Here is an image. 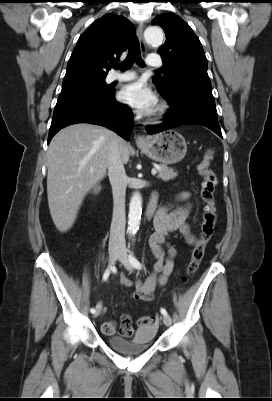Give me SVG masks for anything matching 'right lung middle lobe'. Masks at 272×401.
Instances as JSON below:
<instances>
[{"label": "right lung middle lobe", "instance_id": "obj_1", "mask_svg": "<svg viewBox=\"0 0 272 401\" xmlns=\"http://www.w3.org/2000/svg\"><path fill=\"white\" fill-rule=\"evenodd\" d=\"M113 92L105 80L96 81L72 89L62 90L56 106L72 103L81 99H102L109 96Z\"/></svg>", "mask_w": 272, "mask_h": 401}]
</instances>
